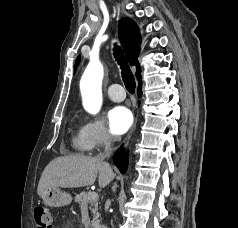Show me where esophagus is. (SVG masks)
Returning <instances> with one entry per match:
<instances>
[{"instance_id": "1", "label": "esophagus", "mask_w": 238, "mask_h": 228, "mask_svg": "<svg viewBox=\"0 0 238 228\" xmlns=\"http://www.w3.org/2000/svg\"><path fill=\"white\" fill-rule=\"evenodd\" d=\"M132 130H133V129H132ZM130 137H131V134L128 136V138H127V140H126V142H125V145L128 144V142H129V140H130Z\"/></svg>"}]
</instances>
